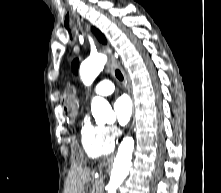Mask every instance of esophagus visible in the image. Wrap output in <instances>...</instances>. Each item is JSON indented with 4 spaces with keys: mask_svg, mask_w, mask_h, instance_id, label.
Listing matches in <instances>:
<instances>
[{
    "mask_svg": "<svg viewBox=\"0 0 221 193\" xmlns=\"http://www.w3.org/2000/svg\"><path fill=\"white\" fill-rule=\"evenodd\" d=\"M66 24H67V19L65 20V26H66ZM68 24H69V27H72V24H74V20H73L72 16H70V19H69V23H68ZM78 24L80 25V23H78ZM78 24H77V25H78ZM87 28L89 29L90 26L87 25ZM103 49H104V51L110 56V59H111L113 65H114L115 67L121 69L120 63H119V61L116 59V57H115V55L113 54L111 48H110L108 45H103ZM121 70H122V69H121ZM122 74H123V78H124V85L127 87L128 92H129V94L131 95L130 88H129L128 85H127L126 75L124 74L123 71H122ZM131 98H132V99H131V100H132L131 103L134 105V104L136 103V102H135L136 99H135L134 97H132V96H131ZM133 107H134V106H133ZM133 112H134V111H133ZM130 125L133 127L135 124L132 122ZM132 127L129 129L131 132L134 130Z\"/></svg>",
    "mask_w": 221,
    "mask_h": 193,
    "instance_id": "34e87169",
    "label": "esophagus"
}]
</instances>
